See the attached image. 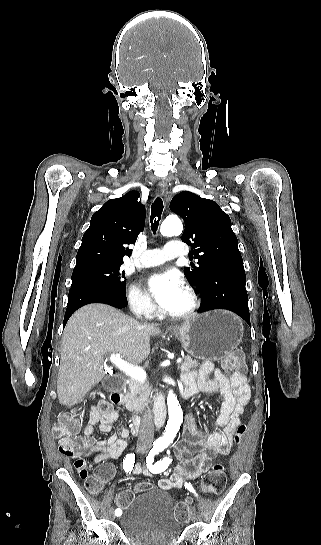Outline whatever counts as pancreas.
<instances>
[{
    "label": "pancreas",
    "instance_id": "cf45deb5",
    "mask_svg": "<svg viewBox=\"0 0 321 545\" xmlns=\"http://www.w3.org/2000/svg\"><path fill=\"white\" fill-rule=\"evenodd\" d=\"M198 365H200L198 361L191 359V357H186L178 369H180L181 373H189L191 369H196ZM151 391L152 387H150L149 383H141V381H136V379H129L128 393L125 395L128 411L141 413L149 403L148 399L152 395Z\"/></svg>",
    "mask_w": 321,
    "mask_h": 545
}]
</instances>
